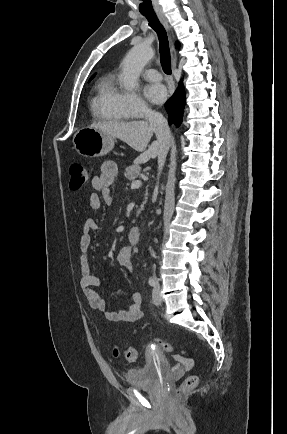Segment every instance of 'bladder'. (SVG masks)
I'll list each match as a JSON object with an SVG mask.
<instances>
[{
  "mask_svg": "<svg viewBox=\"0 0 287 434\" xmlns=\"http://www.w3.org/2000/svg\"><path fill=\"white\" fill-rule=\"evenodd\" d=\"M171 366L167 357L158 352L147 353L143 364L125 374V383L136 388L152 387L162 377L167 376Z\"/></svg>",
  "mask_w": 287,
  "mask_h": 434,
  "instance_id": "31cf9c89",
  "label": "bladder"
}]
</instances>
